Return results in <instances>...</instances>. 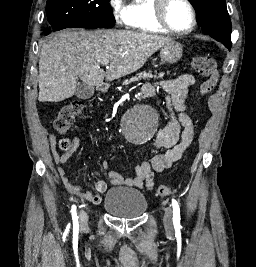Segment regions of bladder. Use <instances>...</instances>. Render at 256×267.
<instances>
[{"label": "bladder", "instance_id": "31cf9c89", "mask_svg": "<svg viewBox=\"0 0 256 267\" xmlns=\"http://www.w3.org/2000/svg\"><path fill=\"white\" fill-rule=\"evenodd\" d=\"M103 207L117 217H137L147 208L144 195L135 189H111L105 197Z\"/></svg>", "mask_w": 256, "mask_h": 267}]
</instances>
